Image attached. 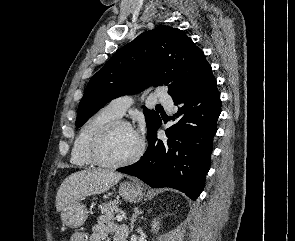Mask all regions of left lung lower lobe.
Masks as SVG:
<instances>
[{
    "label": "left lung lower lobe",
    "mask_w": 295,
    "mask_h": 241,
    "mask_svg": "<svg viewBox=\"0 0 295 241\" xmlns=\"http://www.w3.org/2000/svg\"><path fill=\"white\" fill-rule=\"evenodd\" d=\"M173 100L179 105L174 115L178 122L165 131L168 139H157L160 121L148 138L143 157L117 171L136 176L154 188H175L196 200L205 186L221 113L215 77H206Z\"/></svg>",
    "instance_id": "1"
}]
</instances>
